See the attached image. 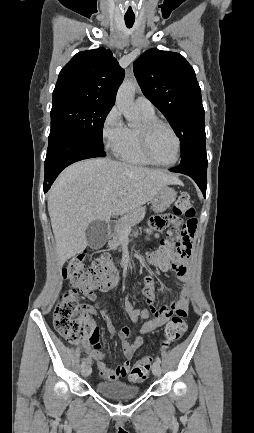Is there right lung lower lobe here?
I'll use <instances>...</instances> for the list:
<instances>
[{"label":"right lung lower lobe","instance_id":"obj_1","mask_svg":"<svg viewBox=\"0 0 254 433\" xmlns=\"http://www.w3.org/2000/svg\"><path fill=\"white\" fill-rule=\"evenodd\" d=\"M102 148L67 131H59L49 137L45 160L44 193L49 189L59 173L70 164L88 158L104 157Z\"/></svg>","mask_w":254,"mask_h":433}]
</instances>
